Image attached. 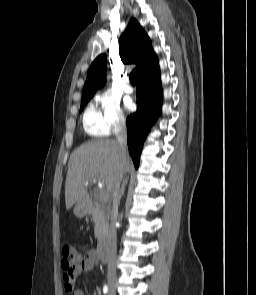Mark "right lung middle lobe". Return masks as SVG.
Masks as SVG:
<instances>
[{"label": "right lung middle lobe", "mask_w": 256, "mask_h": 295, "mask_svg": "<svg viewBox=\"0 0 256 295\" xmlns=\"http://www.w3.org/2000/svg\"><path fill=\"white\" fill-rule=\"evenodd\" d=\"M92 97H83L81 100V107H80V112L83 110V108L85 107V105L88 103V101L91 99Z\"/></svg>", "instance_id": "obj_1"}]
</instances>
